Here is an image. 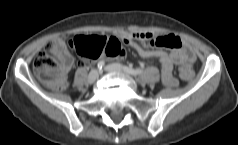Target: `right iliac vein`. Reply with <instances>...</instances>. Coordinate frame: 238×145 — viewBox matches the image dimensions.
<instances>
[{
	"label": "right iliac vein",
	"mask_w": 238,
	"mask_h": 145,
	"mask_svg": "<svg viewBox=\"0 0 238 145\" xmlns=\"http://www.w3.org/2000/svg\"><path fill=\"white\" fill-rule=\"evenodd\" d=\"M99 76L98 70H92L88 75V82L90 84L94 83Z\"/></svg>",
	"instance_id": "1"
}]
</instances>
